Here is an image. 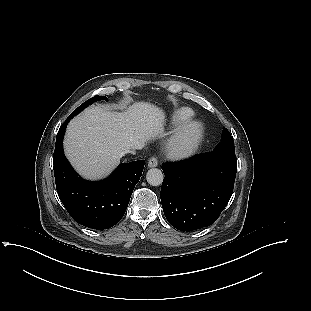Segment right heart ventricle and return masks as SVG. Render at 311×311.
I'll list each match as a JSON object with an SVG mask.
<instances>
[{
  "label": "right heart ventricle",
  "mask_w": 311,
  "mask_h": 311,
  "mask_svg": "<svg viewBox=\"0 0 311 311\" xmlns=\"http://www.w3.org/2000/svg\"><path fill=\"white\" fill-rule=\"evenodd\" d=\"M194 116V111L187 107H181L176 110L171 115L170 127L177 128L182 124L191 120Z\"/></svg>",
  "instance_id": "e07e8e85"
}]
</instances>
